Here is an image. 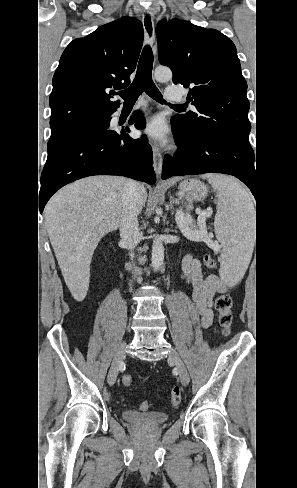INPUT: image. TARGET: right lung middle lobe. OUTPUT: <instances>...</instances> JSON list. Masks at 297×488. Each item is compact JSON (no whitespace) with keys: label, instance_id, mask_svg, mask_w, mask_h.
<instances>
[{"label":"right lung middle lobe","instance_id":"1","mask_svg":"<svg viewBox=\"0 0 297 488\" xmlns=\"http://www.w3.org/2000/svg\"><path fill=\"white\" fill-rule=\"evenodd\" d=\"M108 122V118L104 119H98V120H92V121H87L78 125H75L73 127L64 129L59 132L51 133L49 142H48V150H50L54 145H56L58 142L61 140L86 129L89 128H97L105 125Z\"/></svg>","mask_w":297,"mask_h":488}]
</instances>
